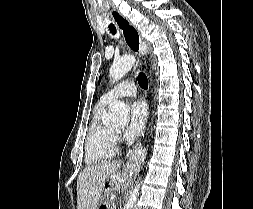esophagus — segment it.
<instances>
[{
	"instance_id": "obj_1",
	"label": "esophagus",
	"mask_w": 253,
	"mask_h": 209,
	"mask_svg": "<svg viewBox=\"0 0 253 209\" xmlns=\"http://www.w3.org/2000/svg\"><path fill=\"white\" fill-rule=\"evenodd\" d=\"M111 16L113 20L115 21L117 27L122 30L125 43L129 47V49L139 58L144 56L147 52V46L143 42L138 29L119 11H115V10L112 11ZM121 25L127 26L125 29V32L122 28H120ZM138 148L139 146H136L127 155L128 164H133L135 162L136 152Z\"/></svg>"
}]
</instances>
